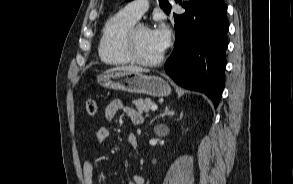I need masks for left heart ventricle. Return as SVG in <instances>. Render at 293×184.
I'll list each match as a JSON object with an SVG mask.
<instances>
[{"label":"left heart ventricle","instance_id":"obj_1","mask_svg":"<svg viewBox=\"0 0 293 184\" xmlns=\"http://www.w3.org/2000/svg\"><path fill=\"white\" fill-rule=\"evenodd\" d=\"M135 43L137 53L143 59H153L161 53L152 40L149 29L140 28L136 33Z\"/></svg>","mask_w":293,"mask_h":184}]
</instances>
